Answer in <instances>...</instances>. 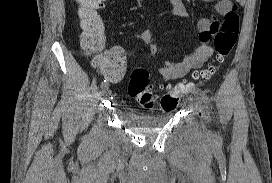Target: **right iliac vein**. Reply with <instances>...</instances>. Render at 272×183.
<instances>
[{
	"mask_svg": "<svg viewBox=\"0 0 272 183\" xmlns=\"http://www.w3.org/2000/svg\"><path fill=\"white\" fill-rule=\"evenodd\" d=\"M103 94H110V90H109V86L104 88V90L102 91Z\"/></svg>",
	"mask_w": 272,
	"mask_h": 183,
	"instance_id": "right-iliac-vein-1",
	"label": "right iliac vein"
}]
</instances>
